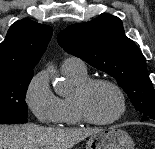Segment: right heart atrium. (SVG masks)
Returning a JSON list of instances; mask_svg holds the SVG:
<instances>
[{
    "instance_id": "1",
    "label": "right heart atrium",
    "mask_w": 155,
    "mask_h": 149,
    "mask_svg": "<svg viewBox=\"0 0 155 149\" xmlns=\"http://www.w3.org/2000/svg\"><path fill=\"white\" fill-rule=\"evenodd\" d=\"M25 102L39 122L43 124L59 122V98L50 89L44 71L30 80L25 92Z\"/></svg>"
}]
</instances>
